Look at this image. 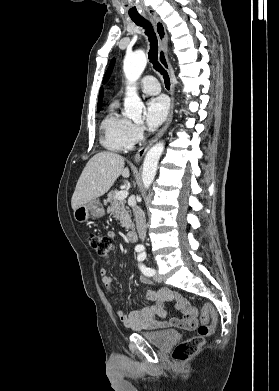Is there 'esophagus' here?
Instances as JSON below:
<instances>
[{
	"label": "esophagus",
	"mask_w": 279,
	"mask_h": 391,
	"mask_svg": "<svg viewBox=\"0 0 279 391\" xmlns=\"http://www.w3.org/2000/svg\"><path fill=\"white\" fill-rule=\"evenodd\" d=\"M150 19L153 23L155 32L157 34L158 38V61L159 63L168 71L169 74H171V66L167 55V41L168 36L166 32V28L164 23L161 21V19L158 17V15L154 12L150 14ZM174 84H172L171 93H172V105L168 114V117L162 126V128L159 130V132L156 134V136L144 147H142L138 152L134 155L133 160L135 162L140 161L149 147L156 142L168 129V127L171 124L172 118H173V108H174Z\"/></svg>",
	"instance_id": "1"
}]
</instances>
